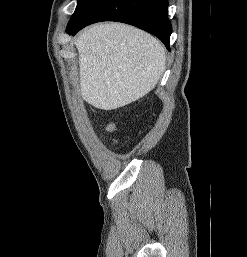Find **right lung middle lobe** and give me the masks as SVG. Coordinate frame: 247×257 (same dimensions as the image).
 <instances>
[{
  "label": "right lung middle lobe",
  "instance_id": "obj_1",
  "mask_svg": "<svg viewBox=\"0 0 247 257\" xmlns=\"http://www.w3.org/2000/svg\"><path fill=\"white\" fill-rule=\"evenodd\" d=\"M94 0H78L76 10L68 24L76 23L86 12Z\"/></svg>",
  "mask_w": 247,
  "mask_h": 257
}]
</instances>
